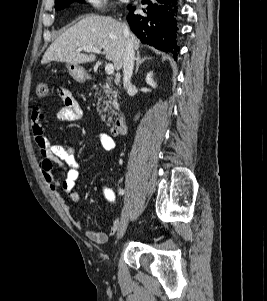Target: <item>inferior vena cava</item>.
Instances as JSON below:
<instances>
[{
    "instance_id": "1",
    "label": "inferior vena cava",
    "mask_w": 267,
    "mask_h": 301,
    "mask_svg": "<svg viewBox=\"0 0 267 301\" xmlns=\"http://www.w3.org/2000/svg\"><path fill=\"white\" fill-rule=\"evenodd\" d=\"M124 34L129 36V29L128 26L124 24ZM134 60H135V53L132 40L128 38L127 45L125 48L124 53V63H123V85L124 88H128L131 86V77L133 74L134 68Z\"/></svg>"
}]
</instances>
